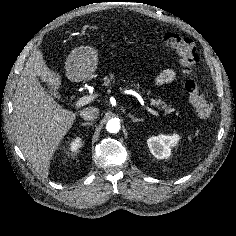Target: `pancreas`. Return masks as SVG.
I'll return each mask as SVG.
<instances>
[{
  "label": "pancreas",
  "instance_id": "pancreas-1",
  "mask_svg": "<svg viewBox=\"0 0 236 236\" xmlns=\"http://www.w3.org/2000/svg\"><path fill=\"white\" fill-rule=\"evenodd\" d=\"M103 81H104V85L105 86H110V85H113L115 84L116 82V78L114 76V74H109L108 76H105L103 78ZM136 89H139V85H134ZM150 104L152 106H160V108L162 110H164L166 113H172L175 111L174 108H171L170 105H167V104H164V102L162 100H157V99H150ZM176 115H179V112L176 111Z\"/></svg>",
  "mask_w": 236,
  "mask_h": 236
}]
</instances>
